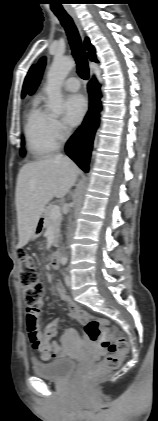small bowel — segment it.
Segmentation results:
<instances>
[{
  "instance_id": "1",
  "label": "small bowel",
  "mask_w": 158,
  "mask_h": 421,
  "mask_svg": "<svg viewBox=\"0 0 158 421\" xmlns=\"http://www.w3.org/2000/svg\"><path fill=\"white\" fill-rule=\"evenodd\" d=\"M55 292L58 298L64 302L69 310L68 317L70 319L77 320L82 324L81 315L85 312L82 311L79 306L70 299L67 295L66 290L61 282H56L54 285ZM59 322L57 320L48 323L42 332L38 326L36 313L28 309L27 314V327L30 342L34 349L41 350L46 348L55 357H61L63 355L62 346L51 339L57 334ZM79 341L78 334L75 329H67L61 336V343L64 345Z\"/></svg>"
}]
</instances>
